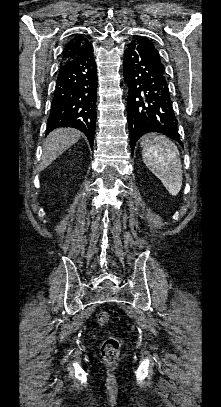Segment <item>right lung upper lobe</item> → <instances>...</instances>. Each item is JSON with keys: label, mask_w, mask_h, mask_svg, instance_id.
I'll return each mask as SVG.
<instances>
[{"label": "right lung upper lobe", "mask_w": 221, "mask_h": 407, "mask_svg": "<svg viewBox=\"0 0 221 407\" xmlns=\"http://www.w3.org/2000/svg\"><path fill=\"white\" fill-rule=\"evenodd\" d=\"M88 41L81 34H76L64 47L62 52V61L64 63L78 55H80L88 45ZM60 63V64H61Z\"/></svg>", "instance_id": "obj_1"}]
</instances>
